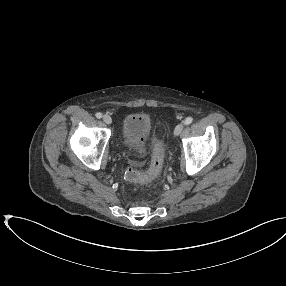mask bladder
Segmentation results:
<instances>
[{"mask_svg":"<svg viewBox=\"0 0 286 286\" xmlns=\"http://www.w3.org/2000/svg\"><path fill=\"white\" fill-rule=\"evenodd\" d=\"M152 125L148 116L128 115L122 124V144L130 149L140 150L151 135Z\"/></svg>","mask_w":286,"mask_h":286,"instance_id":"1","label":"bladder"}]
</instances>
